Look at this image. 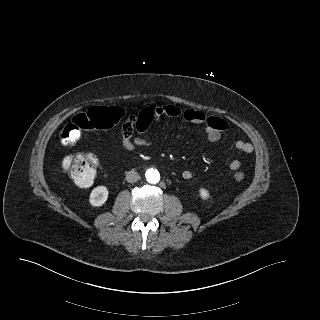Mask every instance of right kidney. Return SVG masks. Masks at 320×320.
<instances>
[{
	"instance_id": "obj_1",
	"label": "right kidney",
	"mask_w": 320,
	"mask_h": 320,
	"mask_svg": "<svg viewBox=\"0 0 320 320\" xmlns=\"http://www.w3.org/2000/svg\"><path fill=\"white\" fill-rule=\"evenodd\" d=\"M108 189L105 186H98L94 188L89 196V203L93 207L102 206L108 199Z\"/></svg>"
}]
</instances>
